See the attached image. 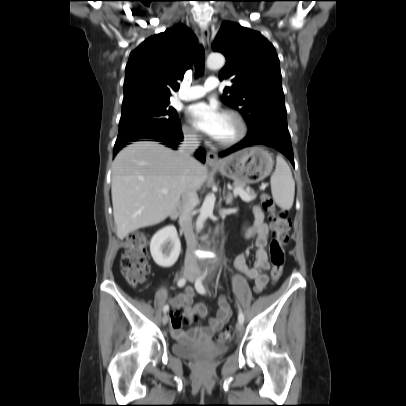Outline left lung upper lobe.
<instances>
[{
    "label": "left lung upper lobe",
    "mask_w": 406,
    "mask_h": 406,
    "mask_svg": "<svg viewBox=\"0 0 406 406\" xmlns=\"http://www.w3.org/2000/svg\"><path fill=\"white\" fill-rule=\"evenodd\" d=\"M213 50L227 59L220 80L233 83L224 89L221 100L245 117L249 131L264 127L288 130L274 46L259 32L226 21L213 42Z\"/></svg>",
    "instance_id": "left-lung-upper-lobe-1"
}]
</instances>
